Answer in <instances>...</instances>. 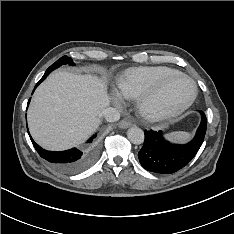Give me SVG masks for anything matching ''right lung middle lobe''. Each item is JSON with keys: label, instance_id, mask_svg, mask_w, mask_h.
Instances as JSON below:
<instances>
[{"label": "right lung middle lobe", "instance_id": "1", "mask_svg": "<svg viewBox=\"0 0 234 234\" xmlns=\"http://www.w3.org/2000/svg\"><path fill=\"white\" fill-rule=\"evenodd\" d=\"M70 64V65H74L73 60L70 57L67 56H63L61 57L59 60H57L54 64H52L48 70L53 71L54 69L60 67L62 64Z\"/></svg>", "mask_w": 234, "mask_h": 234}]
</instances>
